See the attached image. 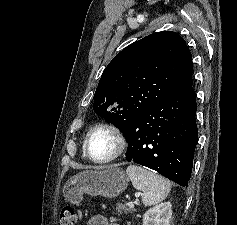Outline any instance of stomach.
Segmentation results:
<instances>
[{
	"label": "stomach",
	"mask_w": 237,
	"mask_h": 225,
	"mask_svg": "<svg viewBox=\"0 0 237 225\" xmlns=\"http://www.w3.org/2000/svg\"><path fill=\"white\" fill-rule=\"evenodd\" d=\"M128 183L129 178L118 166L103 170H85L65 183L63 195L73 204L79 203L84 193L115 198L126 190Z\"/></svg>",
	"instance_id": "obj_1"
}]
</instances>
